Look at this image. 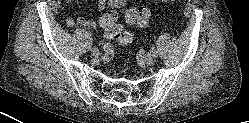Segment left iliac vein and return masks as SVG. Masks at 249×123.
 <instances>
[{
  "label": "left iliac vein",
  "mask_w": 249,
  "mask_h": 123,
  "mask_svg": "<svg viewBox=\"0 0 249 123\" xmlns=\"http://www.w3.org/2000/svg\"><path fill=\"white\" fill-rule=\"evenodd\" d=\"M144 60H145L146 64L153 65L155 57L152 55V53H147L144 56Z\"/></svg>",
  "instance_id": "4c4485c4"
}]
</instances>
